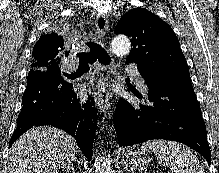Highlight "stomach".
<instances>
[{"label": "stomach", "instance_id": "obj_1", "mask_svg": "<svg viewBox=\"0 0 219 173\" xmlns=\"http://www.w3.org/2000/svg\"><path fill=\"white\" fill-rule=\"evenodd\" d=\"M149 157L142 151L127 150L122 154L121 164L130 171L145 170L149 164Z\"/></svg>", "mask_w": 219, "mask_h": 173}]
</instances>
